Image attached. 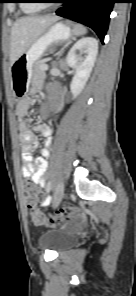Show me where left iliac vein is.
<instances>
[{"label":"left iliac vein","mask_w":136,"mask_h":296,"mask_svg":"<svg viewBox=\"0 0 136 296\" xmlns=\"http://www.w3.org/2000/svg\"><path fill=\"white\" fill-rule=\"evenodd\" d=\"M64 196V185L60 182L56 187V192L53 199V207L56 208L61 203Z\"/></svg>","instance_id":"1"}]
</instances>
